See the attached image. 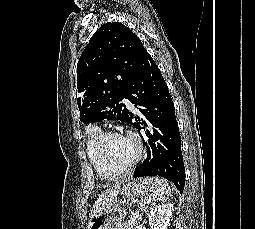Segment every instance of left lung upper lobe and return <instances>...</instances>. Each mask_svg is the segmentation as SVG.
<instances>
[{
	"label": "left lung upper lobe",
	"mask_w": 255,
	"mask_h": 229,
	"mask_svg": "<svg viewBox=\"0 0 255 229\" xmlns=\"http://www.w3.org/2000/svg\"><path fill=\"white\" fill-rule=\"evenodd\" d=\"M144 50L132 30L119 22H108L97 30L77 64L80 121L127 122L129 111L121 101Z\"/></svg>",
	"instance_id": "1"
}]
</instances>
